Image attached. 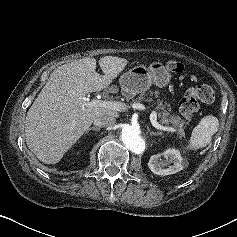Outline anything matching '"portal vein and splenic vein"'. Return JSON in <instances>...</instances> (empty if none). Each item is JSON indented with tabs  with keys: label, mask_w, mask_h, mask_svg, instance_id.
Masks as SVG:
<instances>
[{
	"label": "portal vein and splenic vein",
	"mask_w": 237,
	"mask_h": 237,
	"mask_svg": "<svg viewBox=\"0 0 237 237\" xmlns=\"http://www.w3.org/2000/svg\"><path fill=\"white\" fill-rule=\"evenodd\" d=\"M88 105L107 108V109L114 110V111L127 110V105L122 102H118V101H106V100H100V99H92V101L89 102ZM132 108L137 109V110H145L146 109V107L141 103H133ZM150 121H151V124L158 130L169 131V132H176L177 131L173 127H167V126H163V125L159 124L157 122V113L155 111L151 112Z\"/></svg>",
	"instance_id": "18ae733b"
}]
</instances>
